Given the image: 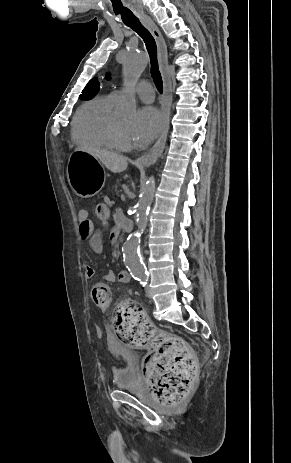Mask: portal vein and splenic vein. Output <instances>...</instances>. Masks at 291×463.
<instances>
[{
  "mask_svg": "<svg viewBox=\"0 0 291 463\" xmlns=\"http://www.w3.org/2000/svg\"><path fill=\"white\" fill-rule=\"evenodd\" d=\"M121 198H122V199H124V198H125V196L122 194V195H121Z\"/></svg>",
  "mask_w": 291,
  "mask_h": 463,
  "instance_id": "1",
  "label": "portal vein and splenic vein"
}]
</instances>
